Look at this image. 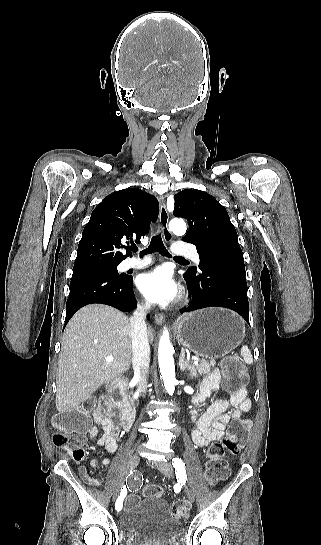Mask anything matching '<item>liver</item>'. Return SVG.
<instances>
[{"label":"liver","mask_w":321,"mask_h":545,"mask_svg":"<svg viewBox=\"0 0 321 545\" xmlns=\"http://www.w3.org/2000/svg\"><path fill=\"white\" fill-rule=\"evenodd\" d=\"M130 319L108 305H87L69 321L63 335L57 369L56 409L68 413L132 361ZM149 343L153 333L148 329ZM112 355V363L106 357Z\"/></svg>","instance_id":"6515ba94"}]
</instances>
